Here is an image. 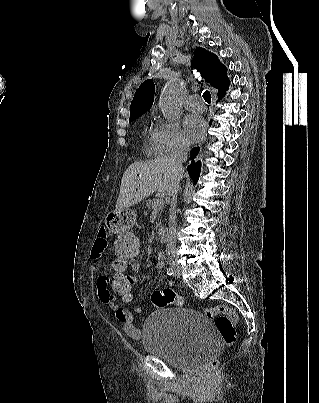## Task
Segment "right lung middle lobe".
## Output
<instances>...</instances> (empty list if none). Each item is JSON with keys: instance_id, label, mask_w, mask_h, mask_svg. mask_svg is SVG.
Here are the masks:
<instances>
[{"instance_id": "obj_1", "label": "right lung middle lobe", "mask_w": 319, "mask_h": 403, "mask_svg": "<svg viewBox=\"0 0 319 403\" xmlns=\"http://www.w3.org/2000/svg\"><path fill=\"white\" fill-rule=\"evenodd\" d=\"M140 117V116H139ZM138 117H134V118H130V120H129V122H131V121H133V120H135V119H137Z\"/></svg>"}]
</instances>
